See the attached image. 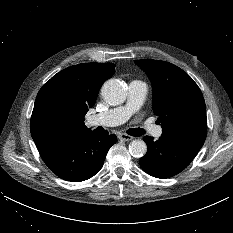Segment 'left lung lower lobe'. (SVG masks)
<instances>
[{"label":"left lung lower lobe","instance_id":"1","mask_svg":"<svg viewBox=\"0 0 233 233\" xmlns=\"http://www.w3.org/2000/svg\"><path fill=\"white\" fill-rule=\"evenodd\" d=\"M147 153L139 161L142 169L156 178L172 177L184 170L197 155L204 141L189 137L165 136L153 141L145 136Z\"/></svg>","mask_w":233,"mask_h":233}]
</instances>
